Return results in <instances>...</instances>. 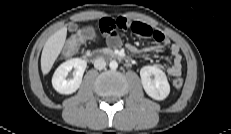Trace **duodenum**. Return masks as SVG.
Here are the masks:
<instances>
[{
	"label": "duodenum",
	"mask_w": 231,
	"mask_h": 134,
	"mask_svg": "<svg viewBox=\"0 0 231 134\" xmlns=\"http://www.w3.org/2000/svg\"><path fill=\"white\" fill-rule=\"evenodd\" d=\"M102 57H108L111 59H124L126 60V62H129V60L121 53L119 52H114L111 50H103V51H99V52H92V53H88L86 54V59L90 60V61H95L99 58Z\"/></svg>",
	"instance_id": "duodenum-1"
}]
</instances>
